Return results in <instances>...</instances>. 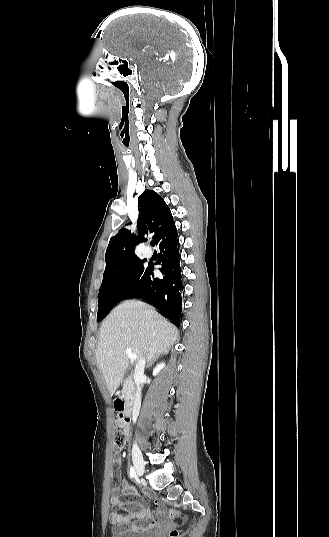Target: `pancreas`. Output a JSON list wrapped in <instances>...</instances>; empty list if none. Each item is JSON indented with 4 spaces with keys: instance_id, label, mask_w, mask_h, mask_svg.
<instances>
[{
    "instance_id": "cf45deb5",
    "label": "pancreas",
    "mask_w": 329,
    "mask_h": 537,
    "mask_svg": "<svg viewBox=\"0 0 329 537\" xmlns=\"http://www.w3.org/2000/svg\"><path fill=\"white\" fill-rule=\"evenodd\" d=\"M123 392L126 393L127 392V386L124 384L123 385Z\"/></svg>"
}]
</instances>
